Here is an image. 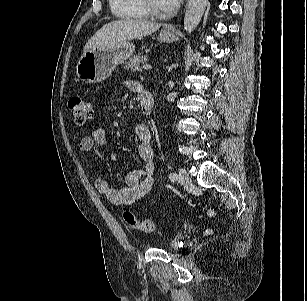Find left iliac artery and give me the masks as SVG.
I'll list each match as a JSON object with an SVG mask.
<instances>
[{"label":"left iliac artery","instance_id":"obj_1","mask_svg":"<svg viewBox=\"0 0 307 301\" xmlns=\"http://www.w3.org/2000/svg\"><path fill=\"white\" fill-rule=\"evenodd\" d=\"M169 179L172 181V182H176L178 180V175L175 173V172H171L169 174Z\"/></svg>","mask_w":307,"mask_h":301}]
</instances>
